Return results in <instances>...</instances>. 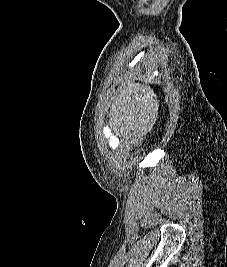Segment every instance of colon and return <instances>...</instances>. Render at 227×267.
Listing matches in <instances>:
<instances>
[{
	"label": "colon",
	"instance_id": "1",
	"mask_svg": "<svg viewBox=\"0 0 227 267\" xmlns=\"http://www.w3.org/2000/svg\"><path fill=\"white\" fill-rule=\"evenodd\" d=\"M144 140H141L140 146H143ZM136 153H139V150H136Z\"/></svg>",
	"mask_w": 227,
	"mask_h": 267
}]
</instances>
